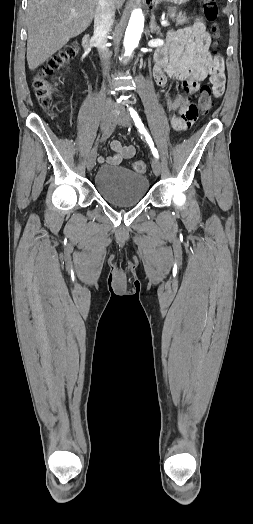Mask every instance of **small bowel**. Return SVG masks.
I'll list each match as a JSON object with an SVG mask.
<instances>
[{"label":"small bowel","mask_w":253,"mask_h":524,"mask_svg":"<svg viewBox=\"0 0 253 524\" xmlns=\"http://www.w3.org/2000/svg\"><path fill=\"white\" fill-rule=\"evenodd\" d=\"M210 42L203 21L197 19L188 27L168 32L165 46L154 55L153 77L157 86L165 87L169 80L180 81L188 93L187 97L179 95L171 99L165 95L163 98V105L169 113L176 110L180 113L177 117L169 115L170 125L175 131L186 130L200 116L198 101L193 95L204 80L208 79L215 97L224 93V60L210 53ZM110 147L113 154L100 156L99 163L117 165L135 155L134 146L123 145L118 140H113Z\"/></svg>","instance_id":"obj_1"}]
</instances>
